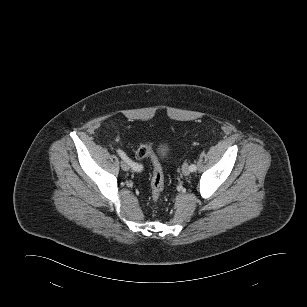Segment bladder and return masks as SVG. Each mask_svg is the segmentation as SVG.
I'll use <instances>...</instances> for the list:
<instances>
[{
	"mask_svg": "<svg viewBox=\"0 0 307 307\" xmlns=\"http://www.w3.org/2000/svg\"><path fill=\"white\" fill-rule=\"evenodd\" d=\"M158 153H159V155H160V157H165V156H167V148H165V147H160L159 149H158Z\"/></svg>",
	"mask_w": 307,
	"mask_h": 307,
	"instance_id": "31cf9c89",
	"label": "bladder"
}]
</instances>
